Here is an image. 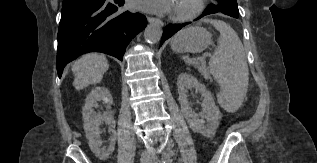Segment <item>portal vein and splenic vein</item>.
<instances>
[{"mask_svg": "<svg viewBox=\"0 0 317 163\" xmlns=\"http://www.w3.org/2000/svg\"><path fill=\"white\" fill-rule=\"evenodd\" d=\"M190 63H194V61H193V60H190Z\"/></svg>", "mask_w": 317, "mask_h": 163, "instance_id": "18ae733b", "label": "portal vein and splenic vein"}]
</instances>
